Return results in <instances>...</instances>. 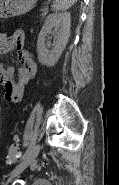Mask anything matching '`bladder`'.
Returning a JSON list of instances; mask_svg holds the SVG:
<instances>
[{
  "label": "bladder",
  "instance_id": "obj_1",
  "mask_svg": "<svg viewBox=\"0 0 119 185\" xmlns=\"http://www.w3.org/2000/svg\"><path fill=\"white\" fill-rule=\"evenodd\" d=\"M32 185H52L48 180L38 179L33 182Z\"/></svg>",
  "mask_w": 119,
  "mask_h": 185
}]
</instances>
